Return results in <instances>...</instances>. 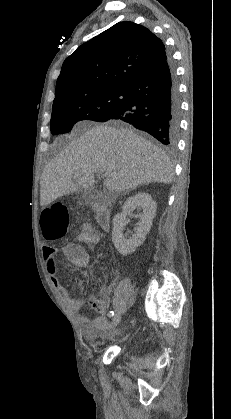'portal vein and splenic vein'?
Listing matches in <instances>:
<instances>
[{
    "instance_id": "portal-vein-and-splenic-vein-1",
    "label": "portal vein and splenic vein",
    "mask_w": 231,
    "mask_h": 419,
    "mask_svg": "<svg viewBox=\"0 0 231 419\" xmlns=\"http://www.w3.org/2000/svg\"><path fill=\"white\" fill-rule=\"evenodd\" d=\"M98 175L100 176H102V177H107L108 176V174L107 173H101V172H98ZM74 177L76 178V177H79V173H75L74 174Z\"/></svg>"
}]
</instances>
